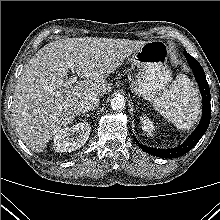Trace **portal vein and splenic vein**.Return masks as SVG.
<instances>
[{
	"instance_id": "obj_1",
	"label": "portal vein and splenic vein",
	"mask_w": 220,
	"mask_h": 220,
	"mask_svg": "<svg viewBox=\"0 0 220 220\" xmlns=\"http://www.w3.org/2000/svg\"><path fill=\"white\" fill-rule=\"evenodd\" d=\"M71 68V70L73 71L74 70V64H70L69 66ZM77 75L73 72V75L69 78L68 80V85L71 86L72 84H74L76 81H77Z\"/></svg>"
}]
</instances>
